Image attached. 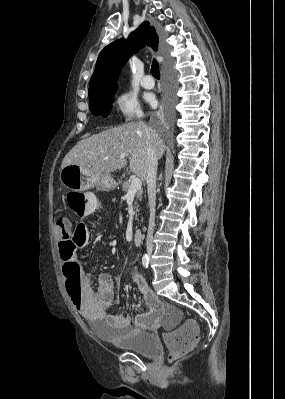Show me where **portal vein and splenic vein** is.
Instances as JSON below:
<instances>
[{
	"label": "portal vein and splenic vein",
	"mask_w": 285,
	"mask_h": 399,
	"mask_svg": "<svg viewBox=\"0 0 285 399\" xmlns=\"http://www.w3.org/2000/svg\"><path fill=\"white\" fill-rule=\"evenodd\" d=\"M126 156H128V154H126V153H121V154H120V157H121V158H124V157H126ZM141 187H142V181H141V179L138 178V177H134V178L132 179V181H131L130 189L128 190V193H135V192H137L139 189H141Z\"/></svg>",
	"instance_id": "1"
}]
</instances>
